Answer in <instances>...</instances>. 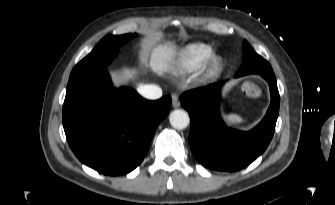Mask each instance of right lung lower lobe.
<instances>
[{"label": "right lung lower lobe", "instance_id": "98d812e1", "mask_svg": "<svg viewBox=\"0 0 335 205\" xmlns=\"http://www.w3.org/2000/svg\"><path fill=\"white\" fill-rule=\"evenodd\" d=\"M170 106L169 95L150 101L133 89L113 88L104 67L68 82L63 127L82 163L105 175H122L142 162Z\"/></svg>", "mask_w": 335, "mask_h": 205}]
</instances>
